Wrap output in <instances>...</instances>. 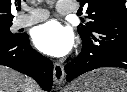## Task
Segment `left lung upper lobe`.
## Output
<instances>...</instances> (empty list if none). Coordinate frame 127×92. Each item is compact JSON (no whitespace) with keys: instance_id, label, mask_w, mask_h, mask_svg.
<instances>
[{"instance_id":"obj_1","label":"left lung upper lobe","mask_w":127,"mask_h":92,"mask_svg":"<svg viewBox=\"0 0 127 92\" xmlns=\"http://www.w3.org/2000/svg\"><path fill=\"white\" fill-rule=\"evenodd\" d=\"M84 6L89 21L77 27L81 37L91 35L101 28L127 29L125 0H77Z\"/></svg>"}]
</instances>
